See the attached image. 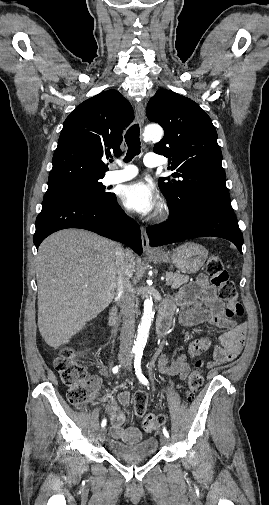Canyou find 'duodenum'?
<instances>
[{
  "label": "duodenum",
  "mask_w": 269,
  "mask_h": 505,
  "mask_svg": "<svg viewBox=\"0 0 269 505\" xmlns=\"http://www.w3.org/2000/svg\"><path fill=\"white\" fill-rule=\"evenodd\" d=\"M173 317H174V308L169 303L163 304L160 309L156 325L157 332L160 337L163 338L169 333L172 326ZM108 322L109 325L116 332L119 324V314H118V308L116 306H114L111 309Z\"/></svg>",
  "instance_id": "410a0bca"
}]
</instances>
